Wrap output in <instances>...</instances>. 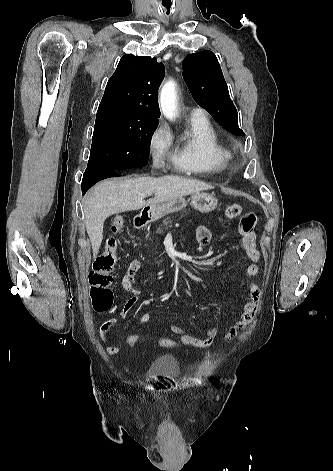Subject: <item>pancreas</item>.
<instances>
[{
	"mask_svg": "<svg viewBox=\"0 0 333 471\" xmlns=\"http://www.w3.org/2000/svg\"><path fill=\"white\" fill-rule=\"evenodd\" d=\"M169 225H170V220H169V218H165V219L163 220V224L157 228L156 232H157L158 234H163V230H164V229H167V228L169 227Z\"/></svg>",
	"mask_w": 333,
	"mask_h": 471,
	"instance_id": "pancreas-1",
	"label": "pancreas"
}]
</instances>
